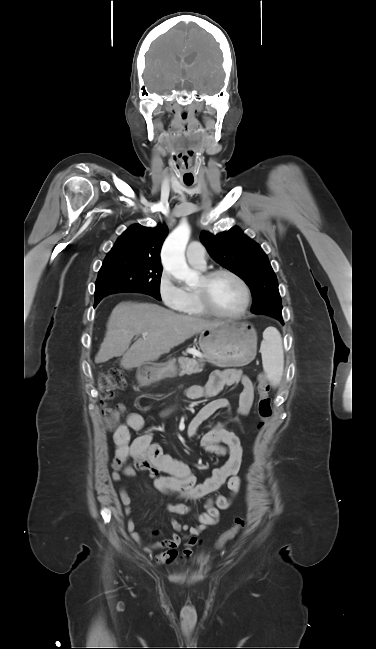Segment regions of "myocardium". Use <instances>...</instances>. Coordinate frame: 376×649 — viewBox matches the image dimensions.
I'll use <instances>...</instances> for the list:
<instances>
[{
  "instance_id": "f54148a6",
  "label": "myocardium",
  "mask_w": 376,
  "mask_h": 649,
  "mask_svg": "<svg viewBox=\"0 0 376 649\" xmlns=\"http://www.w3.org/2000/svg\"><path fill=\"white\" fill-rule=\"evenodd\" d=\"M219 275H229L234 278L241 286L244 293V301L242 307L235 313H226L217 309L211 302L209 297V286L212 280ZM197 296L203 309L216 317L223 319L235 320L243 317L251 302V291L247 282L235 271L227 268H218L204 273L201 277V283L196 287Z\"/></svg>"
}]
</instances>
